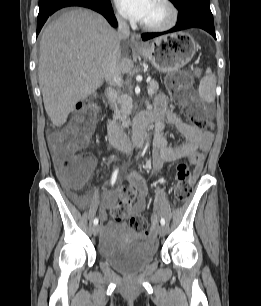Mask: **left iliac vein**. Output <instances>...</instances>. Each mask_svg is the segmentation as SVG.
I'll return each instance as SVG.
<instances>
[{"label": "left iliac vein", "mask_w": 261, "mask_h": 306, "mask_svg": "<svg viewBox=\"0 0 261 306\" xmlns=\"http://www.w3.org/2000/svg\"><path fill=\"white\" fill-rule=\"evenodd\" d=\"M157 231L159 233L160 236H164L166 233V228L164 225H158L157 226Z\"/></svg>", "instance_id": "left-iliac-vein-1"}]
</instances>
